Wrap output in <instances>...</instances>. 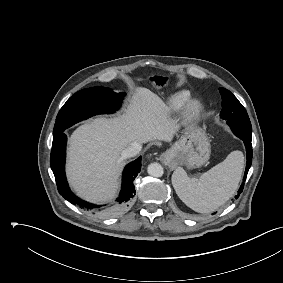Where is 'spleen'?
Returning a JSON list of instances; mask_svg holds the SVG:
<instances>
[{"label": "spleen", "mask_w": 283, "mask_h": 283, "mask_svg": "<svg viewBox=\"0 0 283 283\" xmlns=\"http://www.w3.org/2000/svg\"><path fill=\"white\" fill-rule=\"evenodd\" d=\"M243 167V153L233 151L199 179L188 177L185 170L178 167L172 175V184L178 197L188 207L199 213H209L234 195Z\"/></svg>", "instance_id": "1"}]
</instances>
